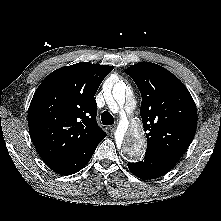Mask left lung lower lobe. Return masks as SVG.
<instances>
[{
	"instance_id": "obj_1",
	"label": "left lung lower lobe",
	"mask_w": 221,
	"mask_h": 221,
	"mask_svg": "<svg viewBox=\"0 0 221 221\" xmlns=\"http://www.w3.org/2000/svg\"><path fill=\"white\" fill-rule=\"evenodd\" d=\"M176 165L175 162L160 156L145 153L144 160L137 163H128V168L137 177L155 179L168 173Z\"/></svg>"
}]
</instances>
